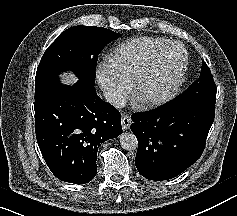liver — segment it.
Listing matches in <instances>:
<instances>
[{"mask_svg": "<svg viewBox=\"0 0 237 216\" xmlns=\"http://www.w3.org/2000/svg\"><path fill=\"white\" fill-rule=\"evenodd\" d=\"M65 82H68V79H65Z\"/></svg>", "mask_w": 237, "mask_h": 216, "instance_id": "obj_1", "label": "liver"}]
</instances>
